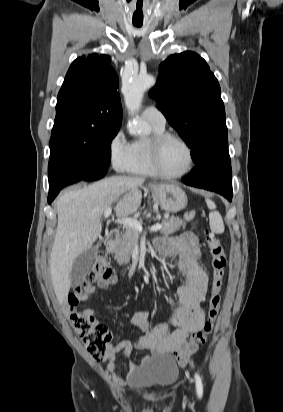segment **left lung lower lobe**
Returning <instances> with one entry per match:
<instances>
[{
    "mask_svg": "<svg viewBox=\"0 0 283 412\" xmlns=\"http://www.w3.org/2000/svg\"><path fill=\"white\" fill-rule=\"evenodd\" d=\"M216 155V156H213ZM196 167L182 182L197 188L217 192L232 200V170L230 160L221 150L209 155L205 161L197 160Z\"/></svg>",
    "mask_w": 283,
    "mask_h": 412,
    "instance_id": "1",
    "label": "left lung lower lobe"
}]
</instances>
